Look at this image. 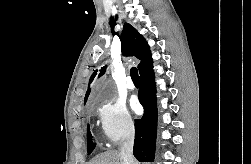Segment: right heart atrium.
<instances>
[{
	"label": "right heart atrium",
	"mask_w": 251,
	"mask_h": 164,
	"mask_svg": "<svg viewBox=\"0 0 251 164\" xmlns=\"http://www.w3.org/2000/svg\"><path fill=\"white\" fill-rule=\"evenodd\" d=\"M100 126L105 138L117 143L134 132V121L124 103L108 97L96 108Z\"/></svg>",
	"instance_id": "d8ad5b80"
}]
</instances>
